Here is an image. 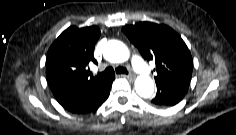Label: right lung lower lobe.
<instances>
[{
	"instance_id": "1",
	"label": "right lung lower lobe",
	"mask_w": 236,
	"mask_h": 135,
	"mask_svg": "<svg viewBox=\"0 0 236 135\" xmlns=\"http://www.w3.org/2000/svg\"><path fill=\"white\" fill-rule=\"evenodd\" d=\"M114 77L87 86H66L52 89L56 100L63 108L74 114H86L95 111L110 94Z\"/></svg>"
}]
</instances>
